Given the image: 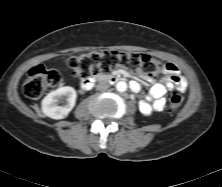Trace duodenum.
<instances>
[{"label":"duodenum","mask_w":222,"mask_h":187,"mask_svg":"<svg viewBox=\"0 0 222 187\" xmlns=\"http://www.w3.org/2000/svg\"><path fill=\"white\" fill-rule=\"evenodd\" d=\"M126 78L127 77L123 74L99 75L91 80L84 81L82 86L84 89H90L96 81L118 82Z\"/></svg>","instance_id":"duodenum-1"}]
</instances>
